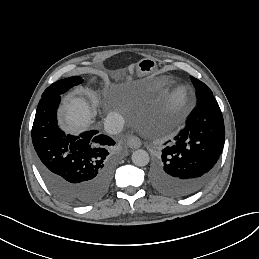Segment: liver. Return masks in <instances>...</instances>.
Here are the masks:
<instances>
[{"label": "liver", "instance_id": "liver-1", "mask_svg": "<svg viewBox=\"0 0 259 259\" xmlns=\"http://www.w3.org/2000/svg\"><path fill=\"white\" fill-rule=\"evenodd\" d=\"M85 96L78 100L74 97L64 103L62 108V124L69 132H78L85 129L93 122L95 116V108L89 101V106L86 105Z\"/></svg>", "mask_w": 259, "mask_h": 259}]
</instances>
